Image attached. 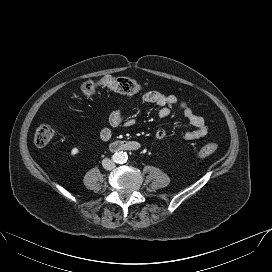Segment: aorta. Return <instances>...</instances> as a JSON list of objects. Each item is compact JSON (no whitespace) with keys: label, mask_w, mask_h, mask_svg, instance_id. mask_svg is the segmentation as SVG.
Instances as JSON below:
<instances>
[{"label":"aorta","mask_w":272,"mask_h":272,"mask_svg":"<svg viewBox=\"0 0 272 272\" xmlns=\"http://www.w3.org/2000/svg\"><path fill=\"white\" fill-rule=\"evenodd\" d=\"M127 159H128V155L126 152H123V151L117 152L114 155V160L119 164L125 163Z\"/></svg>","instance_id":"762f6f07"}]
</instances>
